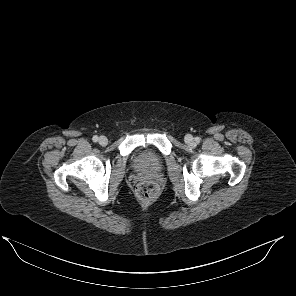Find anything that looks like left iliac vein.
<instances>
[{
    "mask_svg": "<svg viewBox=\"0 0 296 296\" xmlns=\"http://www.w3.org/2000/svg\"><path fill=\"white\" fill-rule=\"evenodd\" d=\"M185 142H186L187 144H192V143L194 142V139H193V137H192L191 135H187V136L185 137Z\"/></svg>",
    "mask_w": 296,
    "mask_h": 296,
    "instance_id": "obj_1",
    "label": "left iliac vein"
}]
</instances>
